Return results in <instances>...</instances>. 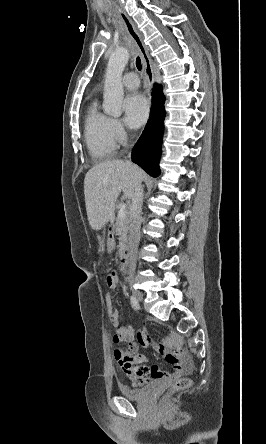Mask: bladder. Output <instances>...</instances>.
Wrapping results in <instances>:
<instances>
[{
	"mask_svg": "<svg viewBox=\"0 0 266 444\" xmlns=\"http://www.w3.org/2000/svg\"><path fill=\"white\" fill-rule=\"evenodd\" d=\"M157 385H158V381L154 380V381L150 382L149 384H147L146 386L139 388V389L120 387L119 390H120L121 394L129 400L142 401L146 397H148L149 395H151L153 393V391Z\"/></svg>",
	"mask_w": 266,
	"mask_h": 444,
	"instance_id": "bladder-1",
	"label": "bladder"
}]
</instances>
